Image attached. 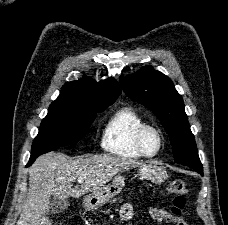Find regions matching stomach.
Returning a JSON list of instances; mask_svg holds the SVG:
<instances>
[{
    "label": "stomach",
    "instance_id": "stomach-1",
    "mask_svg": "<svg viewBox=\"0 0 228 225\" xmlns=\"http://www.w3.org/2000/svg\"><path fill=\"white\" fill-rule=\"evenodd\" d=\"M138 173L143 179H148V181H154V183H164L166 175L160 167L156 165H142L139 167ZM125 185V179L122 175H117L114 177L110 185H105L102 189L94 191L91 195H86L84 199V205L87 209H93V207H102L107 201H110L115 195L121 193Z\"/></svg>",
    "mask_w": 228,
    "mask_h": 225
}]
</instances>
